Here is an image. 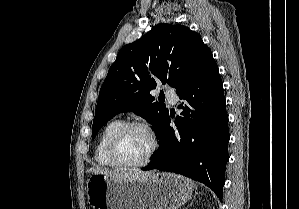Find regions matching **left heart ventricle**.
I'll return each instance as SVG.
<instances>
[{"instance_id":"left-heart-ventricle-1","label":"left heart ventricle","mask_w":299,"mask_h":209,"mask_svg":"<svg viewBox=\"0 0 299 209\" xmlns=\"http://www.w3.org/2000/svg\"><path fill=\"white\" fill-rule=\"evenodd\" d=\"M147 135L139 129H129L119 138L116 146V159L123 164L141 161L149 150Z\"/></svg>"}]
</instances>
